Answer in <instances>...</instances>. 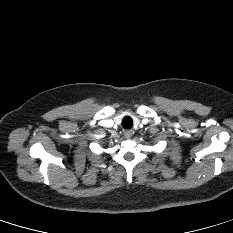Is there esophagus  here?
Segmentation results:
<instances>
[{
    "mask_svg": "<svg viewBox=\"0 0 233 233\" xmlns=\"http://www.w3.org/2000/svg\"><path fill=\"white\" fill-rule=\"evenodd\" d=\"M133 133H134L133 130H125L124 136H125V138L129 139L132 137Z\"/></svg>",
    "mask_w": 233,
    "mask_h": 233,
    "instance_id": "1",
    "label": "esophagus"
}]
</instances>
